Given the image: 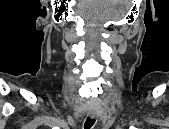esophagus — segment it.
Listing matches in <instances>:
<instances>
[{
	"label": "esophagus",
	"instance_id": "1",
	"mask_svg": "<svg viewBox=\"0 0 169 129\" xmlns=\"http://www.w3.org/2000/svg\"><path fill=\"white\" fill-rule=\"evenodd\" d=\"M90 117H91L92 119L96 118V116H95L93 113H90Z\"/></svg>",
	"mask_w": 169,
	"mask_h": 129
}]
</instances>
